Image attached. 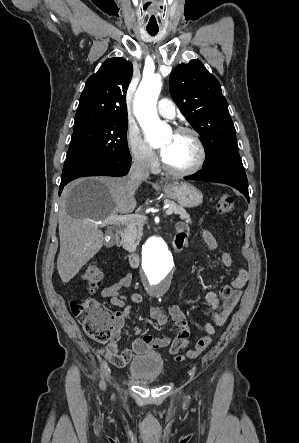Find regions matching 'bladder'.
<instances>
[{"instance_id": "31cf9c89", "label": "bladder", "mask_w": 299, "mask_h": 443, "mask_svg": "<svg viewBox=\"0 0 299 443\" xmlns=\"http://www.w3.org/2000/svg\"><path fill=\"white\" fill-rule=\"evenodd\" d=\"M163 370V359L158 352L154 351L136 356L128 364L130 376L146 385L157 382Z\"/></svg>"}]
</instances>
